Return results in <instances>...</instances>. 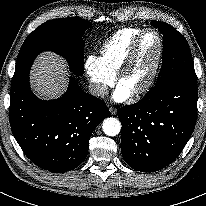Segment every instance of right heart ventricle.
Returning <instances> with one entry per match:
<instances>
[{"label": "right heart ventricle", "mask_w": 206, "mask_h": 206, "mask_svg": "<svg viewBox=\"0 0 206 206\" xmlns=\"http://www.w3.org/2000/svg\"><path fill=\"white\" fill-rule=\"evenodd\" d=\"M143 30V28L120 29L101 47L97 60L107 73L116 75L133 41Z\"/></svg>", "instance_id": "1"}]
</instances>
